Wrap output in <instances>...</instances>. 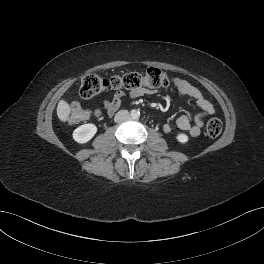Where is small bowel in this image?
<instances>
[{"instance_id": "obj_1", "label": "small bowel", "mask_w": 264, "mask_h": 264, "mask_svg": "<svg viewBox=\"0 0 264 264\" xmlns=\"http://www.w3.org/2000/svg\"><path fill=\"white\" fill-rule=\"evenodd\" d=\"M173 83L181 94L193 98L200 108V112L195 115L193 120L188 115H182L176 121V125L180 130L184 131L190 137H197L201 133L205 117L215 113L214 106L198 88L188 81L174 78ZM144 94H146V90L141 89L131 91L130 96L139 97ZM123 98L124 93L122 91H116L111 99L103 101V108L108 115H113L118 110ZM171 130L172 126L169 123L163 125V131L165 133H170Z\"/></svg>"}]
</instances>
